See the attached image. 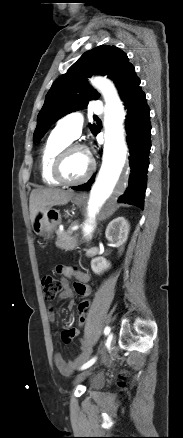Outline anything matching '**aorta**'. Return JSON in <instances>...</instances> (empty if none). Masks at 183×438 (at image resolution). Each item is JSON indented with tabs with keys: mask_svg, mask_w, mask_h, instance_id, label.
I'll use <instances>...</instances> for the list:
<instances>
[{
	"mask_svg": "<svg viewBox=\"0 0 183 438\" xmlns=\"http://www.w3.org/2000/svg\"><path fill=\"white\" fill-rule=\"evenodd\" d=\"M92 84L104 96L105 105V144L103 161L98 177L91 189L87 216L82 226L84 238L93 235L101 207L112 194L126 161L127 146L124 138V108L114 85L107 79L96 77Z\"/></svg>",
	"mask_w": 183,
	"mask_h": 438,
	"instance_id": "obj_1",
	"label": "aorta"
}]
</instances>
